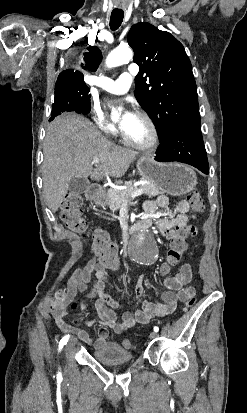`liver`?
I'll return each instance as SVG.
<instances>
[{"instance_id":"1","label":"liver","mask_w":247,"mask_h":413,"mask_svg":"<svg viewBox=\"0 0 247 413\" xmlns=\"http://www.w3.org/2000/svg\"><path fill=\"white\" fill-rule=\"evenodd\" d=\"M43 192L52 213L58 211L74 176L90 174L92 180L123 176L138 152L123 148L103 136L97 126L76 112L56 116L49 124L43 144ZM92 158H100L93 168Z\"/></svg>"}]
</instances>
